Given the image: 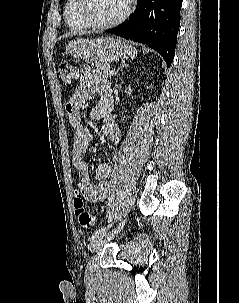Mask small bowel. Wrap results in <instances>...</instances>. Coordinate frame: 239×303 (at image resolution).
Wrapping results in <instances>:
<instances>
[{"label": "small bowel", "mask_w": 239, "mask_h": 303, "mask_svg": "<svg viewBox=\"0 0 239 303\" xmlns=\"http://www.w3.org/2000/svg\"><path fill=\"white\" fill-rule=\"evenodd\" d=\"M80 72V84L66 105V113L73 131L72 164L77 170L78 188L83 197L90 202H99L107 197L110 190L112 168L109 163H100L95 170L97 184L94 185L91 182L85 154L92 142V135L84 127L80 118V110L94 94L98 95L99 100L92 116L93 118H105L102 133L106 140L115 145L119 144L121 132L117 125L108 118L113 108L108 81L87 65H83Z\"/></svg>", "instance_id": "1"}]
</instances>
